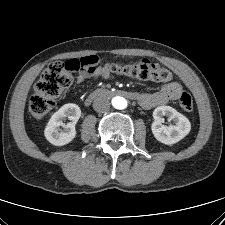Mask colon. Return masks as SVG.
Here are the masks:
<instances>
[{
    "label": "colon",
    "mask_w": 225,
    "mask_h": 225,
    "mask_svg": "<svg viewBox=\"0 0 225 225\" xmlns=\"http://www.w3.org/2000/svg\"><path fill=\"white\" fill-rule=\"evenodd\" d=\"M98 64V57L86 56L67 62L53 61L41 73L35 83L34 93L29 100V111L35 118H42L54 106L55 99L68 88L73 81V73L91 70ZM105 67L119 75L136 77L144 80L170 82L172 73L165 67L150 62L126 63L123 61H110ZM180 107L185 112L193 110V100L189 93L181 92L178 98Z\"/></svg>",
    "instance_id": "1"
}]
</instances>
